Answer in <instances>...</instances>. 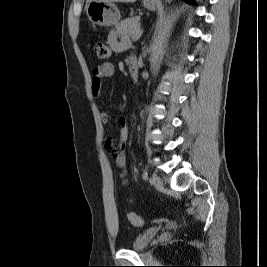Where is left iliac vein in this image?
I'll use <instances>...</instances> for the list:
<instances>
[{"mask_svg":"<svg viewBox=\"0 0 267 267\" xmlns=\"http://www.w3.org/2000/svg\"><path fill=\"white\" fill-rule=\"evenodd\" d=\"M151 183L158 190L163 188V181L157 174L152 175Z\"/></svg>","mask_w":267,"mask_h":267,"instance_id":"1","label":"left iliac vein"}]
</instances>
